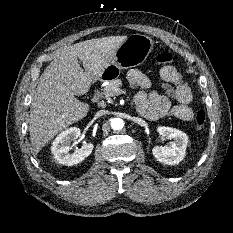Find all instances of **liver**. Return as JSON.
Listing matches in <instances>:
<instances>
[{"mask_svg":"<svg viewBox=\"0 0 233 233\" xmlns=\"http://www.w3.org/2000/svg\"><path fill=\"white\" fill-rule=\"evenodd\" d=\"M126 38L110 36L66 46L46 67L30 108L29 132L33 154H37L63 129L87 115L89 105L75 96L84 95L92 83L101 79Z\"/></svg>","mask_w":233,"mask_h":233,"instance_id":"obj_1","label":"liver"}]
</instances>
